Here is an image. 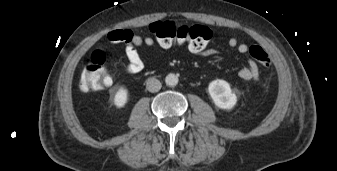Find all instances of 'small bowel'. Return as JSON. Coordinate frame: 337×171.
I'll use <instances>...</instances> for the list:
<instances>
[{"label": "small bowel", "instance_id": "small-bowel-1", "mask_svg": "<svg viewBox=\"0 0 337 171\" xmlns=\"http://www.w3.org/2000/svg\"><path fill=\"white\" fill-rule=\"evenodd\" d=\"M109 39L112 42H124L126 44L124 53L128 59V63L125 66V73L129 75L138 74L145 67V59L141 55L139 48L142 46L154 47L157 44L152 37H141L127 30L115 31L109 35ZM228 45L236 47L239 53H246L248 51V46L243 43L239 44L238 40L234 37L228 39ZM190 52L203 57H210L217 53L214 49L202 50L200 52L190 50ZM239 77L246 81H258L259 69L257 64L253 60H249L247 66L239 71Z\"/></svg>", "mask_w": 337, "mask_h": 171}]
</instances>
